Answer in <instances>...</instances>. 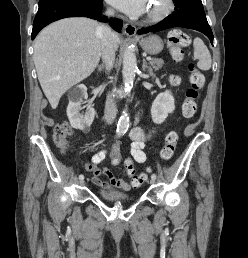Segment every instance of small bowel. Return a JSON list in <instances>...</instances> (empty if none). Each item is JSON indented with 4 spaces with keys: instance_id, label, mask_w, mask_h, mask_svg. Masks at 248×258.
Masks as SVG:
<instances>
[{
    "instance_id": "small-bowel-1",
    "label": "small bowel",
    "mask_w": 248,
    "mask_h": 258,
    "mask_svg": "<svg viewBox=\"0 0 248 258\" xmlns=\"http://www.w3.org/2000/svg\"><path fill=\"white\" fill-rule=\"evenodd\" d=\"M174 81L177 82L178 79H175ZM152 135L153 132L146 131L140 127H133L130 131V139L132 140L130 154L133 155L135 162L139 164L145 163L147 156L144 152V148L147 140ZM105 156V151H99L93 156L92 163H88L85 165V168L93 173V183L103 189L119 188L128 191L135 187L133 182L129 183L125 180L117 179L111 174L108 169H100L97 167V165L104 160ZM101 175H106L109 178V182L102 180Z\"/></svg>"
}]
</instances>
